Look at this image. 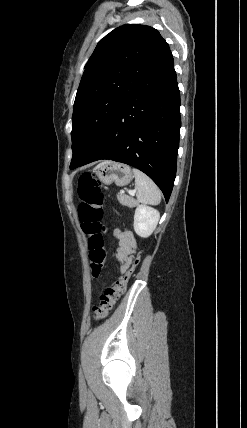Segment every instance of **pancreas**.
Wrapping results in <instances>:
<instances>
[{"label": "pancreas", "mask_w": 247, "mask_h": 428, "mask_svg": "<svg viewBox=\"0 0 247 428\" xmlns=\"http://www.w3.org/2000/svg\"><path fill=\"white\" fill-rule=\"evenodd\" d=\"M117 199L122 205L128 206L130 208H133L138 205V202L135 199H133L132 197L126 196L122 193H118Z\"/></svg>", "instance_id": "1"}]
</instances>
